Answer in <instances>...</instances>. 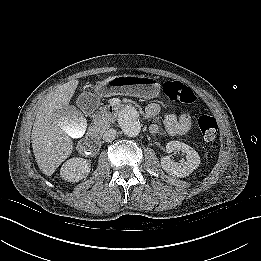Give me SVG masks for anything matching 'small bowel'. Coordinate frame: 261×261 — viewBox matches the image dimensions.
Listing matches in <instances>:
<instances>
[{
  "mask_svg": "<svg viewBox=\"0 0 261 261\" xmlns=\"http://www.w3.org/2000/svg\"><path fill=\"white\" fill-rule=\"evenodd\" d=\"M146 112L151 117L162 116L165 130L168 135L176 137L186 134L191 125L190 115L187 112L181 113L179 116H176L171 113H162L160 106L158 104H150ZM150 132L152 134H158L160 132V127L157 124H152L150 126Z\"/></svg>",
  "mask_w": 261,
  "mask_h": 261,
  "instance_id": "1",
  "label": "small bowel"
}]
</instances>
